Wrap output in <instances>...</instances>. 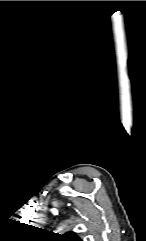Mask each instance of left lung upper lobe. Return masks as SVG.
<instances>
[{
    "label": "left lung upper lobe",
    "instance_id": "1",
    "mask_svg": "<svg viewBox=\"0 0 146 241\" xmlns=\"http://www.w3.org/2000/svg\"><path fill=\"white\" fill-rule=\"evenodd\" d=\"M60 241H82L74 232H68L64 235H59Z\"/></svg>",
    "mask_w": 146,
    "mask_h": 241
}]
</instances>
